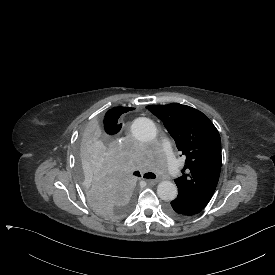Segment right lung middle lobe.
<instances>
[{
    "instance_id": "dd1d6c3e",
    "label": "right lung middle lobe",
    "mask_w": 275,
    "mask_h": 275,
    "mask_svg": "<svg viewBox=\"0 0 275 275\" xmlns=\"http://www.w3.org/2000/svg\"><path fill=\"white\" fill-rule=\"evenodd\" d=\"M74 163L77 182L97 212L112 219L130 213L132 188L117 146L101 124L90 123L83 128Z\"/></svg>"
}]
</instances>
